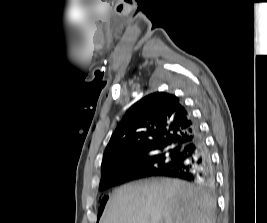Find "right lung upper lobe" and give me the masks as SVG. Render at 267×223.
<instances>
[{
    "instance_id": "obj_1",
    "label": "right lung upper lobe",
    "mask_w": 267,
    "mask_h": 223,
    "mask_svg": "<svg viewBox=\"0 0 267 223\" xmlns=\"http://www.w3.org/2000/svg\"><path fill=\"white\" fill-rule=\"evenodd\" d=\"M196 128L177 96L156 92L142 98L129 108L112 134L103 155L101 182L135 173L143 157L164 148L180 151L196 137Z\"/></svg>"
}]
</instances>
